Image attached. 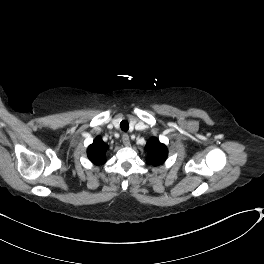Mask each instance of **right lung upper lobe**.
I'll list each match as a JSON object with an SVG mask.
<instances>
[{"label":"right lung upper lobe","mask_w":264,"mask_h":264,"mask_svg":"<svg viewBox=\"0 0 264 264\" xmlns=\"http://www.w3.org/2000/svg\"><path fill=\"white\" fill-rule=\"evenodd\" d=\"M108 146L103 142L101 137H97L88 147L87 154L90 161L96 165L105 163V154Z\"/></svg>","instance_id":"1"}]
</instances>
